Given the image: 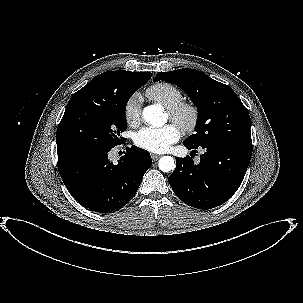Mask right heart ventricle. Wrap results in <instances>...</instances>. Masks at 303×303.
Segmentation results:
<instances>
[{"label":"right heart ventricle","instance_id":"e07e8e85","mask_svg":"<svg viewBox=\"0 0 303 303\" xmlns=\"http://www.w3.org/2000/svg\"><path fill=\"white\" fill-rule=\"evenodd\" d=\"M146 95L151 100L161 104L167 109L184 100L182 91L176 86L166 82L151 85L146 90Z\"/></svg>","mask_w":303,"mask_h":303}]
</instances>
